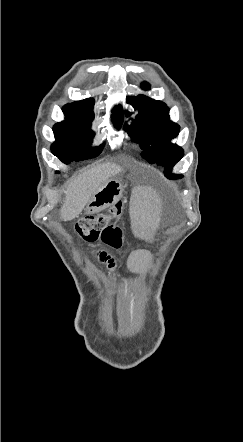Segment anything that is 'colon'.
Instances as JSON below:
<instances>
[{"label":"colon","mask_w":243,"mask_h":442,"mask_svg":"<svg viewBox=\"0 0 243 442\" xmlns=\"http://www.w3.org/2000/svg\"><path fill=\"white\" fill-rule=\"evenodd\" d=\"M123 208V202L119 200L112 207L98 214L81 218L76 223V232L84 241L101 242L113 249L121 248L123 245V231L119 226V222L123 215ZM86 249L93 252L96 246L89 243ZM102 252L98 254V257L103 261L108 260L110 257L108 253Z\"/></svg>","instance_id":"1"}]
</instances>
